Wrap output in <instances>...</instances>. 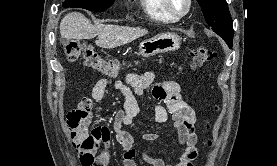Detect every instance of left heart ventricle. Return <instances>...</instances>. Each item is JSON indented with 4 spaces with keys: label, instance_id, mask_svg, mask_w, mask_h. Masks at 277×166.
<instances>
[{
    "label": "left heart ventricle",
    "instance_id": "left-heart-ventricle-1",
    "mask_svg": "<svg viewBox=\"0 0 277 166\" xmlns=\"http://www.w3.org/2000/svg\"><path fill=\"white\" fill-rule=\"evenodd\" d=\"M170 4L176 12H183L187 6L186 0H170Z\"/></svg>",
    "mask_w": 277,
    "mask_h": 166
}]
</instances>
